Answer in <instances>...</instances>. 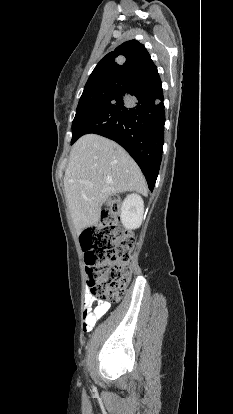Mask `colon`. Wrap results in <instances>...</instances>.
Masks as SVG:
<instances>
[{"label": "colon", "instance_id": "colon-1", "mask_svg": "<svg viewBox=\"0 0 233 414\" xmlns=\"http://www.w3.org/2000/svg\"><path fill=\"white\" fill-rule=\"evenodd\" d=\"M120 213V201L110 200L99 224L81 235L90 294L113 302L122 298L131 280L130 259L135 246L133 234L120 227Z\"/></svg>", "mask_w": 233, "mask_h": 414}]
</instances>
